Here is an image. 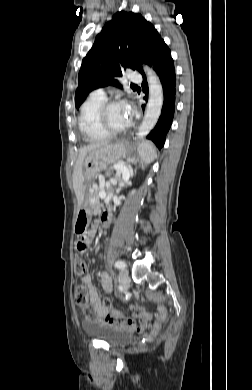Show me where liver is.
<instances>
[{
    "label": "liver",
    "instance_id": "6515ba94",
    "mask_svg": "<svg viewBox=\"0 0 252 390\" xmlns=\"http://www.w3.org/2000/svg\"><path fill=\"white\" fill-rule=\"evenodd\" d=\"M109 144L107 142H96L92 143L88 146L83 147L80 150L79 157L77 159V162L75 164L74 168V174H73V187L75 190V194L81 203L82 197H83V182H84V176H83V162L86 157V155L92 151L96 150L102 147H106Z\"/></svg>",
    "mask_w": 252,
    "mask_h": 390
}]
</instances>
